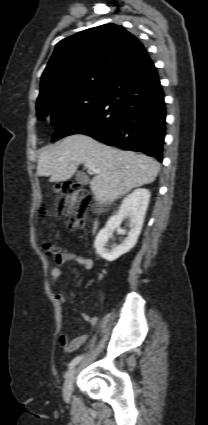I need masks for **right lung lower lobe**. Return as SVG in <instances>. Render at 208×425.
<instances>
[{
  "instance_id": "obj_1",
  "label": "right lung lower lobe",
  "mask_w": 208,
  "mask_h": 425,
  "mask_svg": "<svg viewBox=\"0 0 208 425\" xmlns=\"http://www.w3.org/2000/svg\"><path fill=\"white\" fill-rule=\"evenodd\" d=\"M165 117L164 93L147 54L106 87L100 103L64 118L52 141L85 134L109 146L144 152L161 162Z\"/></svg>"
}]
</instances>
